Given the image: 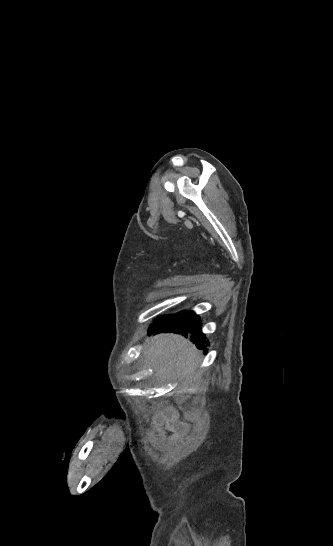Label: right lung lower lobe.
<instances>
[{"mask_svg": "<svg viewBox=\"0 0 333 546\" xmlns=\"http://www.w3.org/2000/svg\"><path fill=\"white\" fill-rule=\"evenodd\" d=\"M200 317L195 315L193 311H182L177 314L167 315L155 320L149 331L153 333H171L190 335V340L196 344L199 349H205L208 342L205 340V335L201 331ZM206 353V351H205Z\"/></svg>", "mask_w": 333, "mask_h": 546, "instance_id": "98d812e1", "label": "right lung lower lobe"}]
</instances>
